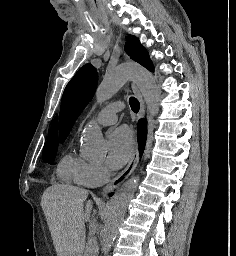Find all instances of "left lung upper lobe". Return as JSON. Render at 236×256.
Returning <instances> with one entry per match:
<instances>
[{
  "label": "left lung upper lobe",
  "mask_w": 236,
  "mask_h": 256,
  "mask_svg": "<svg viewBox=\"0 0 236 256\" xmlns=\"http://www.w3.org/2000/svg\"><path fill=\"white\" fill-rule=\"evenodd\" d=\"M125 50L131 59L153 71L147 50L135 36H128ZM98 82V74L91 64L82 66L67 84L61 101L59 118L60 142L68 136L74 122L92 99Z\"/></svg>",
  "instance_id": "left-lung-upper-lobe-1"
}]
</instances>
